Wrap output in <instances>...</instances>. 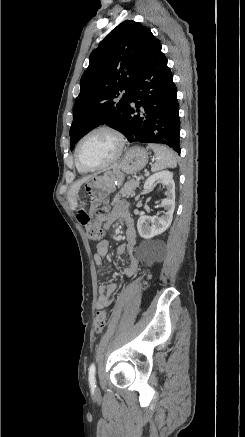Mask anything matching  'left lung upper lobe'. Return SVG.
<instances>
[{
    "mask_svg": "<svg viewBox=\"0 0 245 437\" xmlns=\"http://www.w3.org/2000/svg\"><path fill=\"white\" fill-rule=\"evenodd\" d=\"M159 44L148 28L126 20L92 51L74 104L69 132L71 150L80 138L104 123L124 134L130 91L152 50Z\"/></svg>",
    "mask_w": 245,
    "mask_h": 437,
    "instance_id": "obj_1",
    "label": "left lung upper lobe"
}]
</instances>
